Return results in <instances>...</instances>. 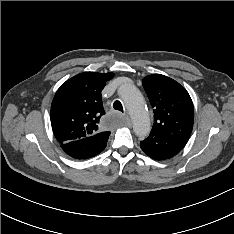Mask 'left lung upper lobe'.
Here are the masks:
<instances>
[{"mask_svg": "<svg viewBox=\"0 0 234 234\" xmlns=\"http://www.w3.org/2000/svg\"><path fill=\"white\" fill-rule=\"evenodd\" d=\"M143 87L154 108V124L150 135L171 140L184 147L194 121L193 102L187 90L161 74L146 76Z\"/></svg>", "mask_w": 234, "mask_h": 234, "instance_id": "obj_1", "label": "left lung upper lobe"}]
</instances>
